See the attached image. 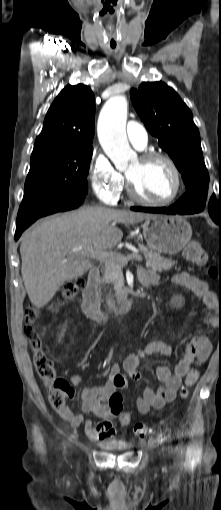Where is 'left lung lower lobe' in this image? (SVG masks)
<instances>
[{
  "label": "left lung lower lobe",
  "mask_w": 221,
  "mask_h": 510,
  "mask_svg": "<svg viewBox=\"0 0 221 510\" xmlns=\"http://www.w3.org/2000/svg\"><path fill=\"white\" fill-rule=\"evenodd\" d=\"M132 210L135 211H144V212H150V213H164V214H194L199 213L202 211V209L198 208H191L187 205H172L168 208L162 207V208H143V207H132ZM209 214L213 221L221 227V211H209Z\"/></svg>",
  "instance_id": "left-lung-lower-lobe-1"
}]
</instances>
